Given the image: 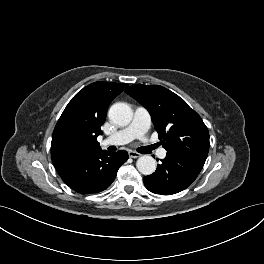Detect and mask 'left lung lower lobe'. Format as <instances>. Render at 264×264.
<instances>
[{
    "label": "left lung lower lobe",
    "instance_id": "left-lung-lower-lobe-1",
    "mask_svg": "<svg viewBox=\"0 0 264 264\" xmlns=\"http://www.w3.org/2000/svg\"><path fill=\"white\" fill-rule=\"evenodd\" d=\"M157 170L143 178L146 188L156 194L171 195L187 188L198 176L204 162L176 152H167Z\"/></svg>",
    "mask_w": 264,
    "mask_h": 264
}]
</instances>
